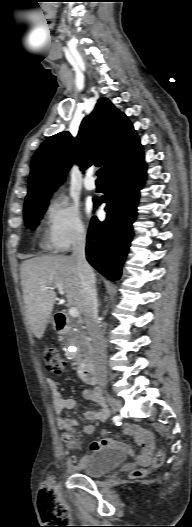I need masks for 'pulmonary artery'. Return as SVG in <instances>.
<instances>
[{
	"instance_id": "e3ab8cb5",
	"label": "pulmonary artery",
	"mask_w": 192,
	"mask_h": 527,
	"mask_svg": "<svg viewBox=\"0 0 192 527\" xmlns=\"http://www.w3.org/2000/svg\"><path fill=\"white\" fill-rule=\"evenodd\" d=\"M83 184L87 190H94L96 188V183L94 181L91 171H89L85 176Z\"/></svg>"
}]
</instances>
